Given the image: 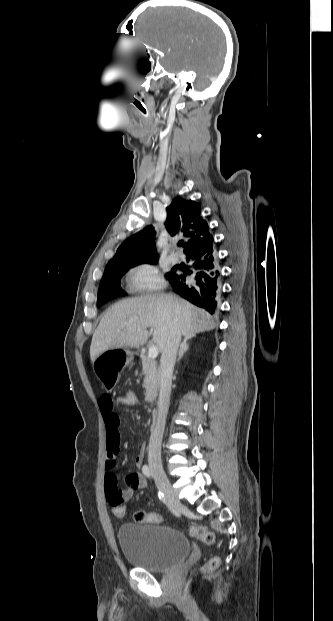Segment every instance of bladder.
<instances>
[{
    "instance_id": "obj_1",
    "label": "bladder",
    "mask_w": 333,
    "mask_h": 621,
    "mask_svg": "<svg viewBox=\"0 0 333 621\" xmlns=\"http://www.w3.org/2000/svg\"><path fill=\"white\" fill-rule=\"evenodd\" d=\"M126 561L156 573L171 570L189 554V542L178 530L155 523H126L117 532Z\"/></svg>"
}]
</instances>
